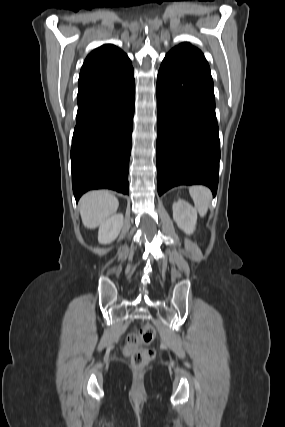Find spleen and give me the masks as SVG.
<instances>
[{
	"instance_id": "spleen-1",
	"label": "spleen",
	"mask_w": 285,
	"mask_h": 427,
	"mask_svg": "<svg viewBox=\"0 0 285 427\" xmlns=\"http://www.w3.org/2000/svg\"><path fill=\"white\" fill-rule=\"evenodd\" d=\"M189 193L193 199L195 208L200 216L204 217L211 202V191L207 187L199 185L190 187Z\"/></svg>"
}]
</instances>
